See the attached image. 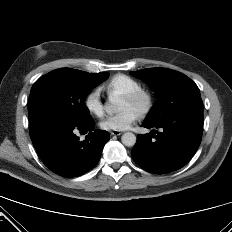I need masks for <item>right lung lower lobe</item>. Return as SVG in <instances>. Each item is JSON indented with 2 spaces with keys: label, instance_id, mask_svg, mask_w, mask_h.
Here are the masks:
<instances>
[{
  "label": "right lung lower lobe",
  "instance_id": "obj_1",
  "mask_svg": "<svg viewBox=\"0 0 232 232\" xmlns=\"http://www.w3.org/2000/svg\"><path fill=\"white\" fill-rule=\"evenodd\" d=\"M90 131L79 141L75 130ZM93 120L81 125L60 122L30 123V137L44 164L64 177H77L91 170L99 161L107 131L94 130Z\"/></svg>",
  "mask_w": 232,
  "mask_h": 232
}]
</instances>
